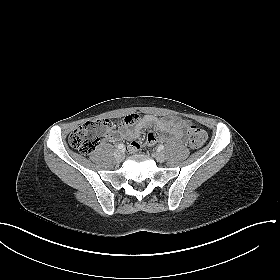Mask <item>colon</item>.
Returning a JSON list of instances; mask_svg holds the SVG:
<instances>
[{"instance_id":"obj_1","label":"colon","mask_w":280,"mask_h":280,"mask_svg":"<svg viewBox=\"0 0 280 280\" xmlns=\"http://www.w3.org/2000/svg\"><path fill=\"white\" fill-rule=\"evenodd\" d=\"M137 121L136 116H129L124 120L125 124L131 125ZM113 129V123L109 119H98L86 122L77 127L69 137L70 145L83 154L92 153L99 143L108 136ZM187 138L191 147H201L207 138L206 132L190 125L187 129Z\"/></svg>"}]
</instances>
